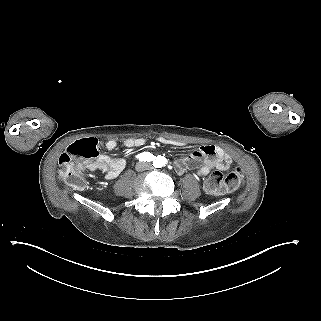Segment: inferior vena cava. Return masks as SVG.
I'll use <instances>...</instances> for the list:
<instances>
[{
	"label": "inferior vena cava",
	"instance_id": "1",
	"mask_svg": "<svg viewBox=\"0 0 321 321\" xmlns=\"http://www.w3.org/2000/svg\"><path fill=\"white\" fill-rule=\"evenodd\" d=\"M142 161H143V160H142ZM142 161L137 163V166H136V167H137V170H138V171H141V172H142V171H147V170L150 171V170H151V167H152V166H151V163H150V162H147V161H146V162H142Z\"/></svg>",
	"mask_w": 321,
	"mask_h": 321
}]
</instances>
